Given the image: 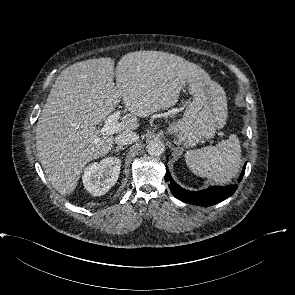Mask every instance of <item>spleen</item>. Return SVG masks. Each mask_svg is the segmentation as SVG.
<instances>
[{
	"label": "spleen",
	"mask_w": 295,
	"mask_h": 295,
	"mask_svg": "<svg viewBox=\"0 0 295 295\" xmlns=\"http://www.w3.org/2000/svg\"><path fill=\"white\" fill-rule=\"evenodd\" d=\"M185 161L196 175L212 179L219 184L229 182L239 171L241 146L238 137L232 134L215 146L188 150Z\"/></svg>",
	"instance_id": "3e777b00"
}]
</instances>
